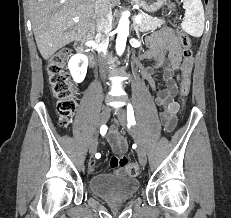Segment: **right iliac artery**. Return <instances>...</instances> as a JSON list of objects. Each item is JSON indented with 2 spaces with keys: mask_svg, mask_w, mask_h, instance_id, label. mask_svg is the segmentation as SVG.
<instances>
[{
  "mask_svg": "<svg viewBox=\"0 0 231 218\" xmlns=\"http://www.w3.org/2000/svg\"><path fill=\"white\" fill-rule=\"evenodd\" d=\"M107 132V126L106 125H102L101 128H100V133L102 136H104ZM95 157L98 159L101 157V154L100 153H96Z\"/></svg>",
  "mask_w": 231,
  "mask_h": 218,
  "instance_id": "obj_1",
  "label": "right iliac artery"
}]
</instances>
